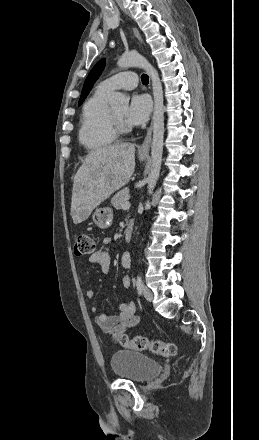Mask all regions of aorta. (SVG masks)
I'll use <instances>...</instances> for the list:
<instances>
[{
	"mask_svg": "<svg viewBox=\"0 0 259 440\" xmlns=\"http://www.w3.org/2000/svg\"><path fill=\"white\" fill-rule=\"evenodd\" d=\"M120 68L139 67L146 71L152 82V90L154 97L153 112V140L151 146V170L148 175V193L151 195L160 174L162 153H163V137H164V100L162 84L156 69L138 53L123 54L117 62ZM130 98L120 92H115L109 103L114 108H127ZM150 207V202L145 203V208Z\"/></svg>",
	"mask_w": 259,
	"mask_h": 440,
	"instance_id": "obj_1",
	"label": "aorta"
}]
</instances>
